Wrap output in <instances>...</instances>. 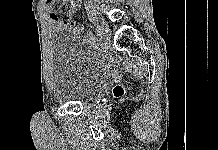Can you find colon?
<instances>
[{"mask_svg": "<svg viewBox=\"0 0 218 150\" xmlns=\"http://www.w3.org/2000/svg\"><path fill=\"white\" fill-rule=\"evenodd\" d=\"M123 94H124V87H123L122 85H116V86L113 88L112 95H113L115 98H119V97H121Z\"/></svg>", "mask_w": 218, "mask_h": 150, "instance_id": "colon-1", "label": "colon"}]
</instances>
